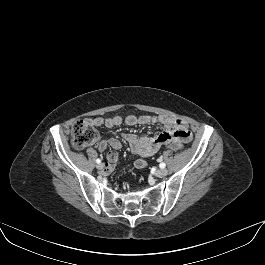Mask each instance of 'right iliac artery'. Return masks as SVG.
I'll return each instance as SVG.
<instances>
[{
    "mask_svg": "<svg viewBox=\"0 0 265 265\" xmlns=\"http://www.w3.org/2000/svg\"><path fill=\"white\" fill-rule=\"evenodd\" d=\"M96 162L99 164V163H101V160L100 159H97Z\"/></svg>",
    "mask_w": 265,
    "mask_h": 265,
    "instance_id": "obj_1",
    "label": "right iliac artery"
}]
</instances>
